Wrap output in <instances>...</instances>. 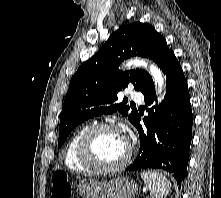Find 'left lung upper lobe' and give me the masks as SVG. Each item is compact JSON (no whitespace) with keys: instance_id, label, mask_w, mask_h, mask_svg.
Wrapping results in <instances>:
<instances>
[{"instance_id":"5c2ea615","label":"left lung upper lobe","mask_w":221,"mask_h":198,"mask_svg":"<svg viewBox=\"0 0 221 198\" xmlns=\"http://www.w3.org/2000/svg\"><path fill=\"white\" fill-rule=\"evenodd\" d=\"M171 53L165 39L147 23L135 22L119 28L72 77L60 116L58 147L79 123L94 116L119 111L134 124L138 112H128L126 99L116 104L117 93L129 83L142 92L153 82L152 77L141 69L122 72L118 66L127 58L143 56L162 69Z\"/></svg>"}]
</instances>
